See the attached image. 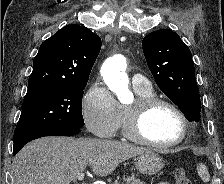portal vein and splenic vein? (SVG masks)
I'll return each instance as SVG.
<instances>
[{
  "label": "portal vein and splenic vein",
  "instance_id": "portal-vein-and-splenic-vein-1",
  "mask_svg": "<svg viewBox=\"0 0 224 184\" xmlns=\"http://www.w3.org/2000/svg\"><path fill=\"white\" fill-rule=\"evenodd\" d=\"M77 179L82 181L84 179V173H79Z\"/></svg>",
  "mask_w": 224,
  "mask_h": 184
}]
</instances>
